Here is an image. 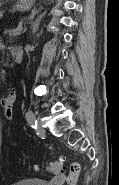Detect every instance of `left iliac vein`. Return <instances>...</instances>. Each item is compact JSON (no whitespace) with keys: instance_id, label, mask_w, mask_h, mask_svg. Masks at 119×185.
<instances>
[{"instance_id":"4c4485c4","label":"left iliac vein","mask_w":119,"mask_h":185,"mask_svg":"<svg viewBox=\"0 0 119 185\" xmlns=\"http://www.w3.org/2000/svg\"><path fill=\"white\" fill-rule=\"evenodd\" d=\"M37 129L40 133H43L44 132V128H43V124H42V120L40 117L37 118Z\"/></svg>"}]
</instances>
